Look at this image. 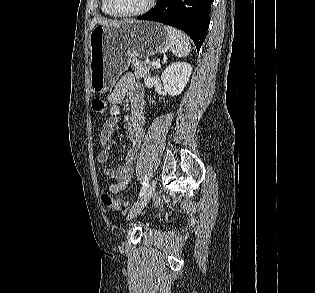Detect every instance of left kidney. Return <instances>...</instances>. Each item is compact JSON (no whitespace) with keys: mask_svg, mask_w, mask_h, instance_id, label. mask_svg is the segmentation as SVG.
Instances as JSON below:
<instances>
[{"mask_svg":"<svg viewBox=\"0 0 315 293\" xmlns=\"http://www.w3.org/2000/svg\"><path fill=\"white\" fill-rule=\"evenodd\" d=\"M192 67L186 62H176L165 69L161 75L163 89L172 96L182 93L189 81Z\"/></svg>","mask_w":315,"mask_h":293,"instance_id":"1","label":"left kidney"}]
</instances>
